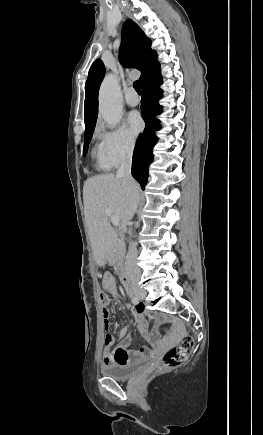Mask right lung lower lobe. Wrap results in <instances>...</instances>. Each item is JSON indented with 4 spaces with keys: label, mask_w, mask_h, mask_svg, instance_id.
I'll return each mask as SVG.
<instances>
[{
    "label": "right lung lower lobe",
    "mask_w": 263,
    "mask_h": 435,
    "mask_svg": "<svg viewBox=\"0 0 263 435\" xmlns=\"http://www.w3.org/2000/svg\"><path fill=\"white\" fill-rule=\"evenodd\" d=\"M160 71L146 80L142 86L141 115L145 121V130L138 137L132 159V175L144 189L148 179V167L153 159L152 149L157 137L154 131L160 129L159 120L154 116L161 113L158 100L162 98Z\"/></svg>",
    "instance_id": "98d812e1"
}]
</instances>
